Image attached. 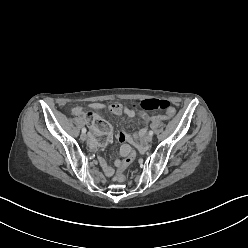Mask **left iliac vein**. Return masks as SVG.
Segmentation results:
<instances>
[{
    "label": "left iliac vein",
    "instance_id": "1",
    "mask_svg": "<svg viewBox=\"0 0 248 248\" xmlns=\"http://www.w3.org/2000/svg\"><path fill=\"white\" fill-rule=\"evenodd\" d=\"M146 141H147V142H151V141H152V136H151V135H148V136L146 137Z\"/></svg>",
    "mask_w": 248,
    "mask_h": 248
}]
</instances>
